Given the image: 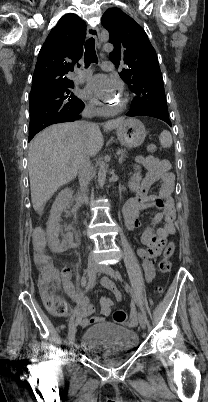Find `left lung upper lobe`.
Segmentation results:
<instances>
[{"instance_id":"left-lung-upper-lobe-1","label":"left lung upper lobe","mask_w":208,"mask_h":402,"mask_svg":"<svg viewBox=\"0 0 208 402\" xmlns=\"http://www.w3.org/2000/svg\"><path fill=\"white\" fill-rule=\"evenodd\" d=\"M102 25L114 45L109 59L116 67L124 65L119 75L136 95L131 110L169 118L158 58L144 29L119 8L108 9Z\"/></svg>"}]
</instances>
